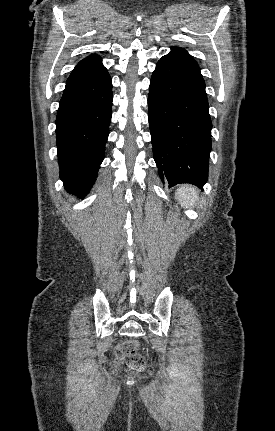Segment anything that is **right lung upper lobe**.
Returning <instances> with one entry per match:
<instances>
[{
    "instance_id": "1",
    "label": "right lung upper lobe",
    "mask_w": 275,
    "mask_h": 431,
    "mask_svg": "<svg viewBox=\"0 0 275 431\" xmlns=\"http://www.w3.org/2000/svg\"><path fill=\"white\" fill-rule=\"evenodd\" d=\"M104 69L106 68L102 65L101 58L97 55H91L77 64L67 79V82H72L88 77Z\"/></svg>"
}]
</instances>
